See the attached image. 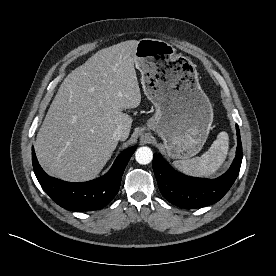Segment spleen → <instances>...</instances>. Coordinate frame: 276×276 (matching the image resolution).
Wrapping results in <instances>:
<instances>
[{
	"label": "spleen",
	"instance_id": "1",
	"mask_svg": "<svg viewBox=\"0 0 276 276\" xmlns=\"http://www.w3.org/2000/svg\"><path fill=\"white\" fill-rule=\"evenodd\" d=\"M229 138L226 132H220L209 150L201 157L188 160H177L173 165L181 172L194 176L204 177L214 174L224 163L228 154Z\"/></svg>",
	"mask_w": 276,
	"mask_h": 276
}]
</instances>
